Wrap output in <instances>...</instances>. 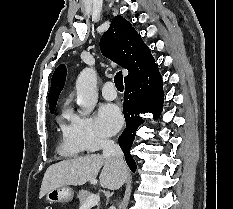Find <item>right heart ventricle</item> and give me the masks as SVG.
I'll list each match as a JSON object with an SVG mask.
<instances>
[{
  "label": "right heart ventricle",
  "instance_id": "obj_1",
  "mask_svg": "<svg viewBox=\"0 0 233 209\" xmlns=\"http://www.w3.org/2000/svg\"><path fill=\"white\" fill-rule=\"evenodd\" d=\"M66 114L67 113L65 112L64 115H66ZM63 116H60L58 118V123L60 124V126L62 127V129L64 131V139L60 143L58 151L63 156H67V157L78 156V155L82 154L84 150H82L81 148L75 146L74 144L69 142L68 139L66 138L65 129H66L67 126L64 123Z\"/></svg>",
  "mask_w": 233,
  "mask_h": 209
}]
</instances>
